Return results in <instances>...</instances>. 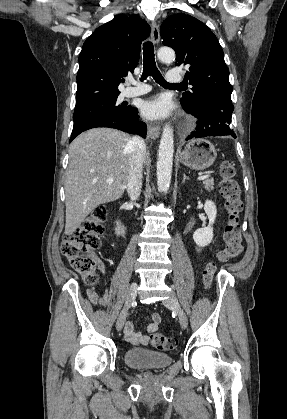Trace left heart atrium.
<instances>
[{
	"instance_id": "1",
	"label": "left heart atrium",
	"mask_w": 287,
	"mask_h": 419,
	"mask_svg": "<svg viewBox=\"0 0 287 419\" xmlns=\"http://www.w3.org/2000/svg\"><path fill=\"white\" fill-rule=\"evenodd\" d=\"M170 109V102L164 96H156L141 106L142 115L147 119H159L165 117Z\"/></svg>"
}]
</instances>
